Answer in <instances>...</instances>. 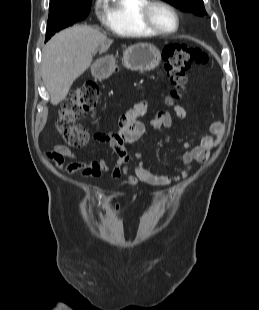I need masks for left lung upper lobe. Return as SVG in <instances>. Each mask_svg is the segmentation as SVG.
<instances>
[{
	"mask_svg": "<svg viewBox=\"0 0 259 310\" xmlns=\"http://www.w3.org/2000/svg\"><path fill=\"white\" fill-rule=\"evenodd\" d=\"M179 8L184 12H191L195 15L203 16L206 14L203 0H163Z\"/></svg>",
	"mask_w": 259,
	"mask_h": 310,
	"instance_id": "5c2ea615",
	"label": "left lung upper lobe"
}]
</instances>
